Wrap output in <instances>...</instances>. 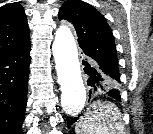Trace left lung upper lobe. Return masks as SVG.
<instances>
[{
  "label": "left lung upper lobe",
  "instance_id": "5c2ea615",
  "mask_svg": "<svg viewBox=\"0 0 153 134\" xmlns=\"http://www.w3.org/2000/svg\"><path fill=\"white\" fill-rule=\"evenodd\" d=\"M59 19H66L74 25L78 43L90 60L103 65L115 74L114 79L108 81L106 90H117L121 81L116 46L104 16L84 1L68 0L59 10Z\"/></svg>",
  "mask_w": 153,
  "mask_h": 134
}]
</instances>
